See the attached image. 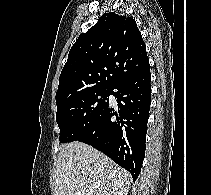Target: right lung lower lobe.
<instances>
[{
    "instance_id": "right-lung-lower-lobe-1",
    "label": "right lung lower lobe",
    "mask_w": 211,
    "mask_h": 195,
    "mask_svg": "<svg viewBox=\"0 0 211 195\" xmlns=\"http://www.w3.org/2000/svg\"><path fill=\"white\" fill-rule=\"evenodd\" d=\"M149 70L148 67L118 80L110 92L117 98V109L108 104L90 128L75 140L106 154L128 170L134 181L140 174L146 149L151 96Z\"/></svg>"
}]
</instances>
